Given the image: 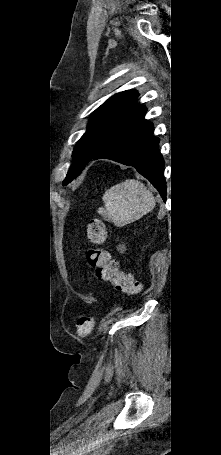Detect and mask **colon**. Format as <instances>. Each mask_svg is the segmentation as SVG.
<instances>
[{
    "label": "colon",
    "instance_id": "colon-1",
    "mask_svg": "<svg viewBox=\"0 0 221 455\" xmlns=\"http://www.w3.org/2000/svg\"><path fill=\"white\" fill-rule=\"evenodd\" d=\"M89 241L94 245L87 253V261L95 270L99 280L111 283L117 291L128 295L140 291L139 282L130 274L119 269L116 260L103 248L106 240V231L103 221L93 218L87 227ZM77 334L80 337L88 335L93 328V320L89 315H82L77 320Z\"/></svg>",
    "mask_w": 221,
    "mask_h": 455
}]
</instances>
